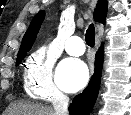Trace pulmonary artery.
Listing matches in <instances>:
<instances>
[{
	"label": "pulmonary artery",
	"instance_id": "pulmonary-artery-1",
	"mask_svg": "<svg viewBox=\"0 0 131 115\" xmlns=\"http://www.w3.org/2000/svg\"><path fill=\"white\" fill-rule=\"evenodd\" d=\"M65 49L70 55L80 56L85 51V45L82 38L75 35L68 39Z\"/></svg>",
	"mask_w": 131,
	"mask_h": 115
}]
</instances>
